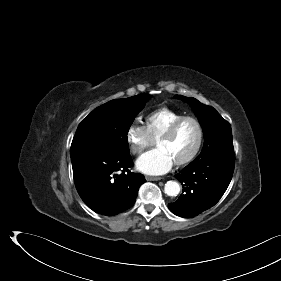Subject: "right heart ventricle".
I'll use <instances>...</instances> for the list:
<instances>
[{
	"label": "right heart ventricle",
	"mask_w": 281,
	"mask_h": 281,
	"mask_svg": "<svg viewBox=\"0 0 281 281\" xmlns=\"http://www.w3.org/2000/svg\"><path fill=\"white\" fill-rule=\"evenodd\" d=\"M181 116H183L182 113L167 107H161L149 113L145 122L151 138L157 141L167 128Z\"/></svg>",
	"instance_id": "1"
}]
</instances>
